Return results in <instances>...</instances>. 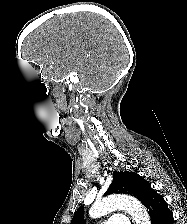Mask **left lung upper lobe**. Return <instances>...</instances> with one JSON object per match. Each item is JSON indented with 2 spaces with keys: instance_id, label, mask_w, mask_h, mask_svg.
I'll return each mask as SVG.
<instances>
[{
  "instance_id": "obj_1",
  "label": "left lung upper lobe",
  "mask_w": 187,
  "mask_h": 224,
  "mask_svg": "<svg viewBox=\"0 0 187 224\" xmlns=\"http://www.w3.org/2000/svg\"><path fill=\"white\" fill-rule=\"evenodd\" d=\"M155 192L148 181L142 179L141 176L134 172H114L113 181L104 195L112 193L129 194L136 197L142 204L149 200L151 195ZM84 208L81 206L75 212L71 224H84L83 217Z\"/></svg>"
}]
</instances>
